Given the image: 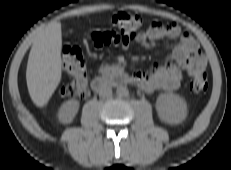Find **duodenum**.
<instances>
[{
  "label": "duodenum",
  "mask_w": 231,
  "mask_h": 170,
  "mask_svg": "<svg viewBox=\"0 0 231 170\" xmlns=\"http://www.w3.org/2000/svg\"><path fill=\"white\" fill-rule=\"evenodd\" d=\"M133 78L126 76L122 71L115 69L109 76L97 75L92 80V88L99 91L106 86H119L124 84H134Z\"/></svg>",
  "instance_id": "obj_1"
}]
</instances>
